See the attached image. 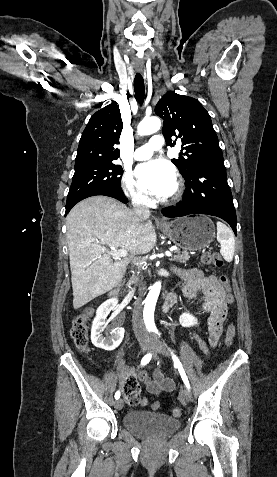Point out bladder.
I'll use <instances>...</instances> for the list:
<instances>
[{
    "label": "bladder",
    "instance_id": "bladder-1",
    "mask_svg": "<svg viewBox=\"0 0 277 477\" xmlns=\"http://www.w3.org/2000/svg\"><path fill=\"white\" fill-rule=\"evenodd\" d=\"M124 426L134 434L149 439H160L174 433L181 422L162 413L130 411L123 418Z\"/></svg>",
    "mask_w": 277,
    "mask_h": 477
}]
</instances>
